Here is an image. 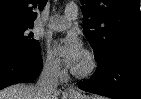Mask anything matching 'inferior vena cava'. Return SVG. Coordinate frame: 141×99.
Wrapping results in <instances>:
<instances>
[{"instance_id": "1", "label": "inferior vena cava", "mask_w": 141, "mask_h": 99, "mask_svg": "<svg viewBox=\"0 0 141 99\" xmlns=\"http://www.w3.org/2000/svg\"><path fill=\"white\" fill-rule=\"evenodd\" d=\"M60 67L55 63H46L43 66L39 79L36 83V89L41 92L43 98H49L48 96L57 90L58 77Z\"/></svg>"}]
</instances>
